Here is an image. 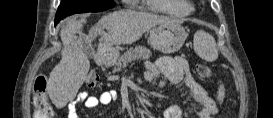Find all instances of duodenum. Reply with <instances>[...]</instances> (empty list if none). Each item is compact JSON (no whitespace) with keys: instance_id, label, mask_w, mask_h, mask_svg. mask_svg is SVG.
Instances as JSON below:
<instances>
[{"instance_id":"1","label":"duodenum","mask_w":273,"mask_h":118,"mask_svg":"<svg viewBox=\"0 0 273 118\" xmlns=\"http://www.w3.org/2000/svg\"><path fill=\"white\" fill-rule=\"evenodd\" d=\"M108 60H109L108 54L104 51L98 54L95 58L96 63L100 66L107 64Z\"/></svg>"}]
</instances>
